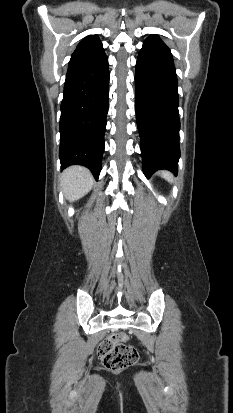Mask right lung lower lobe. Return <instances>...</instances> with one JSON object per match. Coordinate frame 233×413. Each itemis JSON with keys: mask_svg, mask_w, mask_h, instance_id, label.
I'll use <instances>...</instances> for the list:
<instances>
[{"mask_svg": "<svg viewBox=\"0 0 233 413\" xmlns=\"http://www.w3.org/2000/svg\"><path fill=\"white\" fill-rule=\"evenodd\" d=\"M108 96V58L101 42L76 49L69 61L61 103L59 157L62 169L79 164L98 178Z\"/></svg>", "mask_w": 233, "mask_h": 413, "instance_id": "right-lung-lower-lobe-1", "label": "right lung lower lobe"}]
</instances>
